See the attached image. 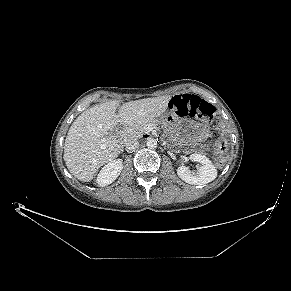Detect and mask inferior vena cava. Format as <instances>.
<instances>
[{"label":"inferior vena cava","mask_w":291,"mask_h":291,"mask_svg":"<svg viewBox=\"0 0 291 291\" xmlns=\"http://www.w3.org/2000/svg\"><path fill=\"white\" fill-rule=\"evenodd\" d=\"M139 147V142L136 139H129L126 143L125 149L127 152H134Z\"/></svg>","instance_id":"obj_1"}]
</instances>
